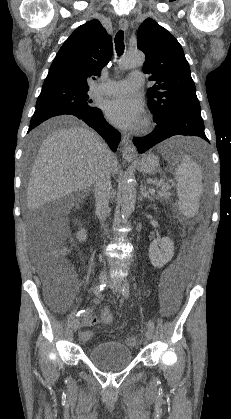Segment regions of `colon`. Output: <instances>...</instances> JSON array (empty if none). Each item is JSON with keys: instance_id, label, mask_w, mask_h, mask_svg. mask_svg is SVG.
<instances>
[{"instance_id": "obj_1", "label": "colon", "mask_w": 231, "mask_h": 419, "mask_svg": "<svg viewBox=\"0 0 231 419\" xmlns=\"http://www.w3.org/2000/svg\"><path fill=\"white\" fill-rule=\"evenodd\" d=\"M66 249L63 246L48 251L42 258V273L47 285L52 290L65 291L68 284L74 280V273L65 260ZM101 320L105 324H111L112 314L104 310L101 313ZM129 346H135L137 341L134 338L126 340Z\"/></svg>"}]
</instances>
